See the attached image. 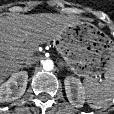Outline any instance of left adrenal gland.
Listing matches in <instances>:
<instances>
[{"instance_id": "1", "label": "left adrenal gland", "mask_w": 114, "mask_h": 114, "mask_svg": "<svg viewBox=\"0 0 114 114\" xmlns=\"http://www.w3.org/2000/svg\"><path fill=\"white\" fill-rule=\"evenodd\" d=\"M60 65H61V68L64 66V63L63 62H60Z\"/></svg>"}]
</instances>
